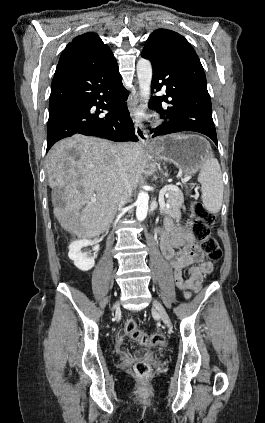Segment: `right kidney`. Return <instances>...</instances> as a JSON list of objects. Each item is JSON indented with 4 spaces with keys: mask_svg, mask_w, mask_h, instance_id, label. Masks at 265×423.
<instances>
[{
    "mask_svg": "<svg viewBox=\"0 0 265 423\" xmlns=\"http://www.w3.org/2000/svg\"><path fill=\"white\" fill-rule=\"evenodd\" d=\"M89 245H94L93 250L98 251L99 245L95 244L92 240L89 239H80L72 242L69 246L68 256L74 262V265L81 271H88L92 269L95 265L94 259L97 254L94 256H88L86 253L82 252V248Z\"/></svg>",
    "mask_w": 265,
    "mask_h": 423,
    "instance_id": "obj_1",
    "label": "right kidney"
}]
</instances>
